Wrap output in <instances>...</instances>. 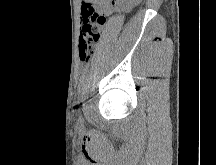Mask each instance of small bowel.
Returning <instances> with one entry per match:
<instances>
[{
  "mask_svg": "<svg viewBox=\"0 0 216 165\" xmlns=\"http://www.w3.org/2000/svg\"><path fill=\"white\" fill-rule=\"evenodd\" d=\"M139 2L140 0H125V6L131 8ZM112 3L113 0H83L81 12L83 10H95L98 14H106Z\"/></svg>",
  "mask_w": 216,
  "mask_h": 165,
  "instance_id": "small-bowel-1",
  "label": "small bowel"
}]
</instances>
